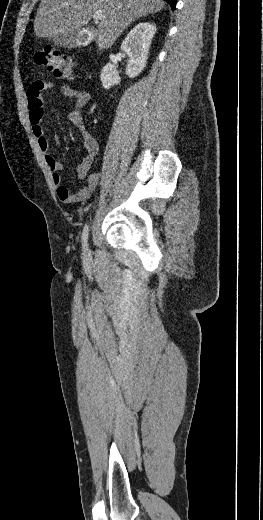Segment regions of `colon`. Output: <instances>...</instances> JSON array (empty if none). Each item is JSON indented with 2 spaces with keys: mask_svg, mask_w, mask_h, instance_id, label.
Returning a JSON list of instances; mask_svg holds the SVG:
<instances>
[{
  "mask_svg": "<svg viewBox=\"0 0 263 520\" xmlns=\"http://www.w3.org/2000/svg\"><path fill=\"white\" fill-rule=\"evenodd\" d=\"M34 62L56 77L70 79L73 77V62L67 55L61 54L52 47H44L33 53Z\"/></svg>",
  "mask_w": 263,
  "mask_h": 520,
  "instance_id": "colon-1",
  "label": "colon"
}]
</instances>
